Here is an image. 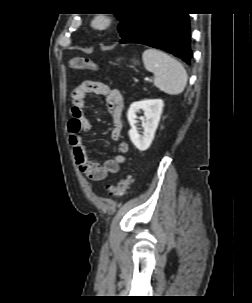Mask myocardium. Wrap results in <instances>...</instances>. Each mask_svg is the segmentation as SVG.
Listing matches in <instances>:
<instances>
[{
    "mask_svg": "<svg viewBox=\"0 0 252 303\" xmlns=\"http://www.w3.org/2000/svg\"><path fill=\"white\" fill-rule=\"evenodd\" d=\"M113 24V19L109 15L97 14L91 19V25L94 29L98 31H104L111 27Z\"/></svg>",
    "mask_w": 252,
    "mask_h": 303,
    "instance_id": "f54148a6",
    "label": "myocardium"
}]
</instances>
